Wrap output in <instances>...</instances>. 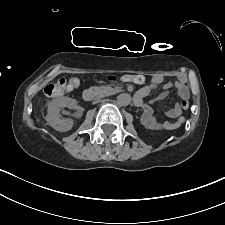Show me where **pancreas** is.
Here are the masks:
<instances>
[{
	"instance_id": "obj_1",
	"label": "pancreas",
	"mask_w": 225,
	"mask_h": 225,
	"mask_svg": "<svg viewBox=\"0 0 225 225\" xmlns=\"http://www.w3.org/2000/svg\"><path fill=\"white\" fill-rule=\"evenodd\" d=\"M100 90L104 95H109V94L113 93L114 91H116V89L111 88L109 86H102V87H100Z\"/></svg>"
}]
</instances>
